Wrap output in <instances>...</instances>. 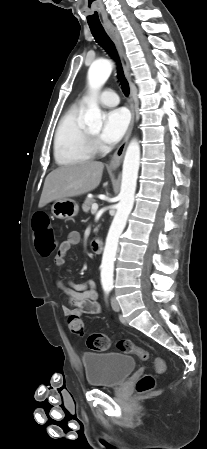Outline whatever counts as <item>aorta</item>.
I'll use <instances>...</instances> for the list:
<instances>
[{
    "label": "aorta",
    "instance_id": "1",
    "mask_svg": "<svg viewBox=\"0 0 207 449\" xmlns=\"http://www.w3.org/2000/svg\"><path fill=\"white\" fill-rule=\"evenodd\" d=\"M112 72V63L109 60H100L92 63L88 70V85L93 94L88 110L84 116V123L90 128L102 127L101 110L96 102L95 95L105 84ZM140 165V145L136 139L129 143L123 162L122 183L119 194L117 211L110 226L101 264V283L103 286L113 284L114 262L119 237L123 232L128 216L134 205V195Z\"/></svg>",
    "mask_w": 207,
    "mask_h": 449
}]
</instances>
